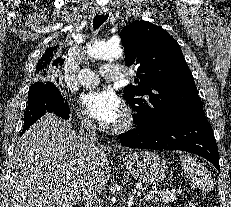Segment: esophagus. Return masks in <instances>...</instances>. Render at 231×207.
<instances>
[{
    "mask_svg": "<svg viewBox=\"0 0 231 207\" xmlns=\"http://www.w3.org/2000/svg\"><path fill=\"white\" fill-rule=\"evenodd\" d=\"M101 15H106L107 14V11L106 10H102L99 12Z\"/></svg>",
    "mask_w": 231,
    "mask_h": 207,
    "instance_id": "esophagus-1",
    "label": "esophagus"
}]
</instances>
